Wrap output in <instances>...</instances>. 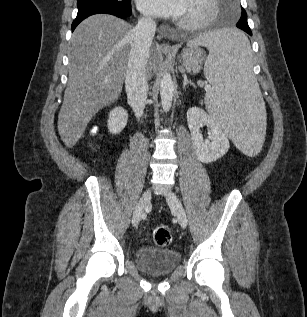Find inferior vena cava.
I'll list each match as a JSON object with an SVG mask.
<instances>
[{
  "mask_svg": "<svg viewBox=\"0 0 307 317\" xmlns=\"http://www.w3.org/2000/svg\"><path fill=\"white\" fill-rule=\"evenodd\" d=\"M156 32V23L151 17H141L132 30L133 44L130 50L125 87L127 99L137 118L144 113L148 94L146 64Z\"/></svg>",
  "mask_w": 307,
  "mask_h": 317,
  "instance_id": "obj_1",
  "label": "inferior vena cava"
}]
</instances>
